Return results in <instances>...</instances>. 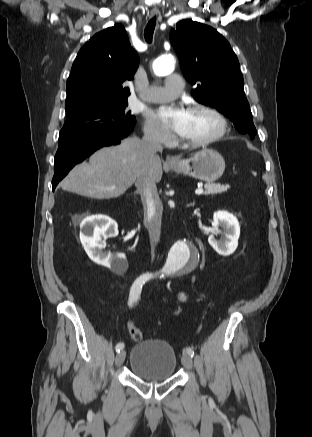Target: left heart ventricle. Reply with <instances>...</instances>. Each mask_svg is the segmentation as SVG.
Returning <instances> with one entry per match:
<instances>
[{"instance_id":"b2bd125f","label":"left heart ventricle","mask_w":312,"mask_h":437,"mask_svg":"<svg viewBox=\"0 0 312 437\" xmlns=\"http://www.w3.org/2000/svg\"><path fill=\"white\" fill-rule=\"evenodd\" d=\"M217 129V121L212 116L191 112L187 131L181 136L185 140H200L211 135Z\"/></svg>"}]
</instances>
